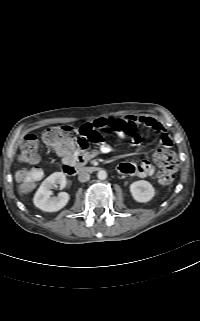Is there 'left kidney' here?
Listing matches in <instances>:
<instances>
[{
  "label": "left kidney",
  "instance_id": "obj_1",
  "mask_svg": "<svg viewBox=\"0 0 200 321\" xmlns=\"http://www.w3.org/2000/svg\"><path fill=\"white\" fill-rule=\"evenodd\" d=\"M130 192L134 200L140 203L150 201L155 196V189L145 180L135 181L130 185Z\"/></svg>",
  "mask_w": 200,
  "mask_h": 321
}]
</instances>
